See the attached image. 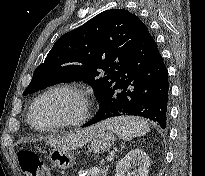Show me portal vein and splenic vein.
<instances>
[{"label":"portal vein and splenic vein","instance_id":"obj_1","mask_svg":"<svg viewBox=\"0 0 205 176\" xmlns=\"http://www.w3.org/2000/svg\"><path fill=\"white\" fill-rule=\"evenodd\" d=\"M113 160V152L107 157V161H112Z\"/></svg>","mask_w":205,"mask_h":176}]
</instances>
